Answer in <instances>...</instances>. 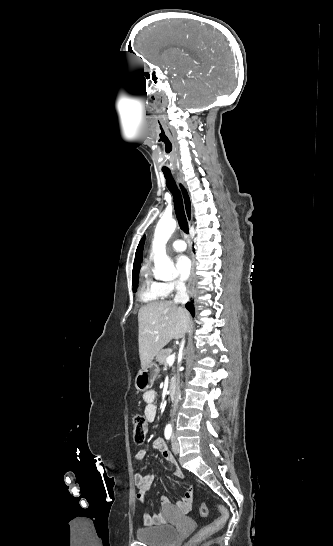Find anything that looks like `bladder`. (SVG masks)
<instances>
[{"label": "bladder", "mask_w": 333, "mask_h": 546, "mask_svg": "<svg viewBox=\"0 0 333 546\" xmlns=\"http://www.w3.org/2000/svg\"><path fill=\"white\" fill-rule=\"evenodd\" d=\"M135 535L138 541L148 546H173L179 538L178 529L172 525L139 528Z\"/></svg>", "instance_id": "bladder-1"}]
</instances>
